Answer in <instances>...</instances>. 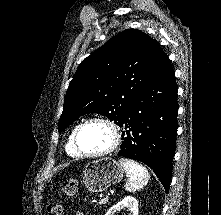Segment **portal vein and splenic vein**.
Returning a JSON list of instances; mask_svg holds the SVG:
<instances>
[{
    "instance_id": "portal-vein-and-splenic-vein-1",
    "label": "portal vein and splenic vein",
    "mask_w": 221,
    "mask_h": 215,
    "mask_svg": "<svg viewBox=\"0 0 221 215\" xmlns=\"http://www.w3.org/2000/svg\"><path fill=\"white\" fill-rule=\"evenodd\" d=\"M108 196H110V194H108ZM108 196H106V198L104 200H108Z\"/></svg>"
}]
</instances>
